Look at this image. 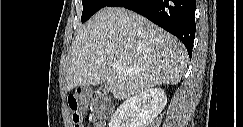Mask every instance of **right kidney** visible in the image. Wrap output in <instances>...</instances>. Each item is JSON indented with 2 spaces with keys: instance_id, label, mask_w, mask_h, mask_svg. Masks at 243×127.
I'll use <instances>...</instances> for the list:
<instances>
[{
  "instance_id": "obj_1",
  "label": "right kidney",
  "mask_w": 243,
  "mask_h": 127,
  "mask_svg": "<svg viewBox=\"0 0 243 127\" xmlns=\"http://www.w3.org/2000/svg\"><path fill=\"white\" fill-rule=\"evenodd\" d=\"M167 97L161 88H149L123 102L111 117L109 127H147L162 112Z\"/></svg>"
}]
</instances>
